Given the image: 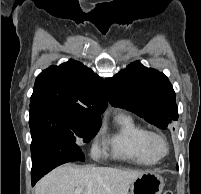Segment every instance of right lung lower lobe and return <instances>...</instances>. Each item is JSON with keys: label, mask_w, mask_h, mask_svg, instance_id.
Listing matches in <instances>:
<instances>
[{"label": "right lung lower lobe", "mask_w": 201, "mask_h": 194, "mask_svg": "<svg viewBox=\"0 0 201 194\" xmlns=\"http://www.w3.org/2000/svg\"><path fill=\"white\" fill-rule=\"evenodd\" d=\"M79 153L82 151L73 141L45 132L32 136V186L53 168L71 161Z\"/></svg>", "instance_id": "obj_1"}]
</instances>
